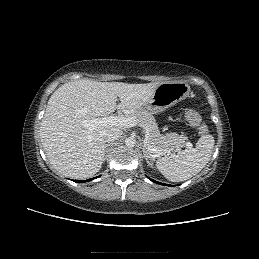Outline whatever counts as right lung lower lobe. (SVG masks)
<instances>
[{
  "mask_svg": "<svg viewBox=\"0 0 259 259\" xmlns=\"http://www.w3.org/2000/svg\"><path fill=\"white\" fill-rule=\"evenodd\" d=\"M93 179H94V178H93ZM93 179L84 180V181H75V182H80V183H82V182H87V181H90V180H93Z\"/></svg>",
  "mask_w": 259,
  "mask_h": 259,
  "instance_id": "98d812e1",
  "label": "right lung lower lobe"
}]
</instances>
